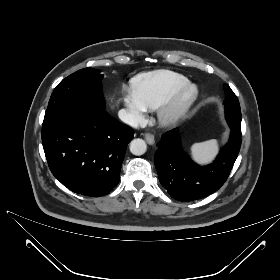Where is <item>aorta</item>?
Masks as SVG:
<instances>
[{
  "label": "aorta",
  "instance_id": "762f6f07",
  "mask_svg": "<svg viewBox=\"0 0 280 280\" xmlns=\"http://www.w3.org/2000/svg\"><path fill=\"white\" fill-rule=\"evenodd\" d=\"M147 150V144L143 139L137 138L130 143V152L133 155L140 156L143 155Z\"/></svg>",
  "mask_w": 280,
  "mask_h": 280
}]
</instances>
